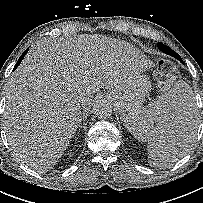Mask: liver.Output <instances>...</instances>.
Masks as SVG:
<instances>
[{"instance_id": "obj_1", "label": "liver", "mask_w": 203, "mask_h": 203, "mask_svg": "<svg viewBox=\"0 0 203 203\" xmlns=\"http://www.w3.org/2000/svg\"><path fill=\"white\" fill-rule=\"evenodd\" d=\"M147 65L132 45L104 36L37 41L6 86L4 126L13 154L33 170L51 169L80 125L81 106L99 88L109 89L111 100ZM162 121L159 140L183 141L189 132L171 114Z\"/></svg>"}]
</instances>
